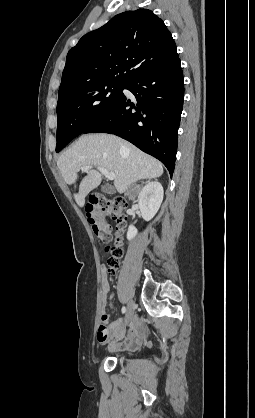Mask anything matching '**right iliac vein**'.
Returning a JSON list of instances; mask_svg holds the SVG:
<instances>
[{"label": "right iliac vein", "mask_w": 255, "mask_h": 418, "mask_svg": "<svg viewBox=\"0 0 255 418\" xmlns=\"http://www.w3.org/2000/svg\"><path fill=\"white\" fill-rule=\"evenodd\" d=\"M134 311H135V303L133 301H130L127 306L125 324L132 318Z\"/></svg>", "instance_id": "right-iliac-vein-1"}]
</instances>
